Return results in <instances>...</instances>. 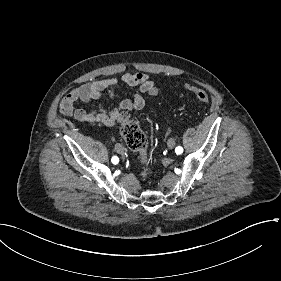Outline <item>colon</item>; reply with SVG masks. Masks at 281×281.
Listing matches in <instances>:
<instances>
[{
    "label": "colon",
    "instance_id": "colon-1",
    "mask_svg": "<svg viewBox=\"0 0 281 281\" xmlns=\"http://www.w3.org/2000/svg\"><path fill=\"white\" fill-rule=\"evenodd\" d=\"M181 88L185 89L186 85L182 84ZM187 90L194 92L196 100L200 103H208L210 101V96L204 91H196V88L191 86H188ZM118 122L124 140L139 155L140 161L146 164L148 161L147 137L140 129L138 122L130 119L128 114L120 116Z\"/></svg>",
    "mask_w": 281,
    "mask_h": 281
}]
</instances>
